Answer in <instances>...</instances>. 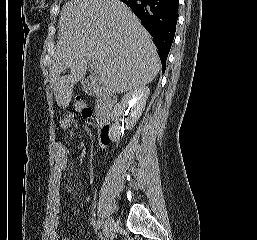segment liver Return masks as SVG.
<instances>
[{"label":"liver","instance_id":"obj_1","mask_svg":"<svg viewBox=\"0 0 257 240\" xmlns=\"http://www.w3.org/2000/svg\"><path fill=\"white\" fill-rule=\"evenodd\" d=\"M51 85L59 107H68L73 87L90 60L101 66L105 91L124 93L149 84L160 59L149 33L120 0H71L62 8ZM70 69L65 76L61 74Z\"/></svg>","mask_w":257,"mask_h":240}]
</instances>
